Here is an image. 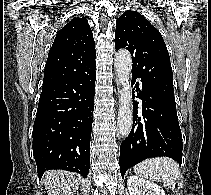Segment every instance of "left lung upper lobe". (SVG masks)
<instances>
[{
  "mask_svg": "<svg viewBox=\"0 0 211 195\" xmlns=\"http://www.w3.org/2000/svg\"><path fill=\"white\" fill-rule=\"evenodd\" d=\"M115 47L132 55V75L163 97L174 101L170 57L160 32L140 13L126 11L116 21Z\"/></svg>",
  "mask_w": 211,
  "mask_h": 195,
  "instance_id": "obj_1",
  "label": "left lung upper lobe"
}]
</instances>
